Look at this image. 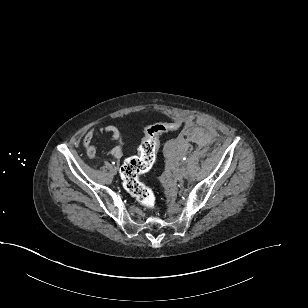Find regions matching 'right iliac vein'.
<instances>
[{
	"label": "right iliac vein",
	"instance_id": "right-iliac-vein-1",
	"mask_svg": "<svg viewBox=\"0 0 308 308\" xmlns=\"http://www.w3.org/2000/svg\"><path fill=\"white\" fill-rule=\"evenodd\" d=\"M118 170V168L116 166H114L113 171L116 173Z\"/></svg>",
	"mask_w": 308,
	"mask_h": 308
}]
</instances>
